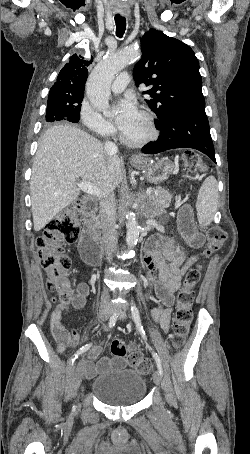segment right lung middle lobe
<instances>
[{"label": "right lung middle lobe", "instance_id": "dd1d6c3e", "mask_svg": "<svg viewBox=\"0 0 250 454\" xmlns=\"http://www.w3.org/2000/svg\"><path fill=\"white\" fill-rule=\"evenodd\" d=\"M83 96L74 98H58L48 96L46 122L67 120L76 123L80 119V109Z\"/></svg>", "mask_w": 250, "mask_h": 454}]
</instances>
